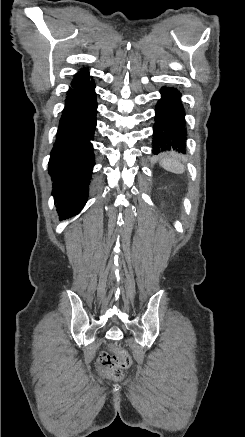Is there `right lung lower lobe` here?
<instances>
[{"instance_id":"1","label":"right lung lower lobe","mask_w":245,"mask_h":437,"mask_svg":"<svg viewBox=\"0 0 245 437\" xmlns=\"http://www.w3.org/2000/svg\"><path fill=\"white\" fill-rule=\"evenodd\" d=\"M94 88V83H91L69 89L51 151L49 173L60 220L78 214L87 202L88 185L95 164L90 143L96 127Z\"/></svg>"}]
</instances>
